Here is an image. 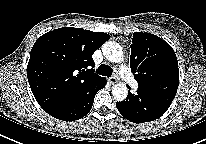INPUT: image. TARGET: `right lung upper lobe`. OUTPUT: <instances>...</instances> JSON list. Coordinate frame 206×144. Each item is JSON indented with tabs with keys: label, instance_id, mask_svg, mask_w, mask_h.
<instances>
[{
	"label": "right lung upper lobe",
	"instance_id": "cb5924a9",
	"mask_svg": "<svg viewBox=\"0 0 206 144\" xmlns=\"http://www.w3.org/2000/svg\"><path fill=\"white\" fill-rule=\"evenodd\" d=\"M109 38L103 32L64 27L37 39L27 77L43 110L51 115L69 106L102 79L94 74L92 55Z\"/></svg>",
	"mask_w": 206,
	"mask_h": 144
}]
</instances>
